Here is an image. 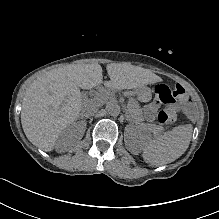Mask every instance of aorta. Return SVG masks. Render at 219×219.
<instances>
[{"instance_id": "1", "label": "aorta", "mask_w": 219, "mask_h": 219, "mask_svg": "<svg viewBox=\"0 0 219 219\" xmlns=\"http://www.w3.org/2000/svg\"><path fill=\"white\" fill-rule=\"evenodd\" d=\"M106 110L111 116H118L121 112V108L116 100H109L106 103Z\"/></svg>"}]
</instances>
